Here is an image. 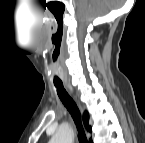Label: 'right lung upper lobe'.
<instances>
[{"label": "right lung upper lobe", "instance_id": "cb5924a9", "mask_svg": "<svg viewBox=\"0 0 145 143\" xmlns=\"http://www.w3.org/2000/svg\"><path fill=\"white\" fill-rule=\"evenodd\" d=\"M88 119H89L88 113L85 112L84 116H83L84 124H85L87 130L91 131V127L88 125Z\"/></svg>", "mask_w": 145, "mask_h": 143}]
</instances>
